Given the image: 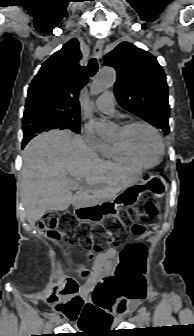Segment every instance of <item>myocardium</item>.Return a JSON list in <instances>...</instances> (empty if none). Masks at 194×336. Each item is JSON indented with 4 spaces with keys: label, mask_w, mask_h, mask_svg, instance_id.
I'll return each mask as SVG.
<instances>
[{
    "label": "myocardium",
    "mask_w": 194,
    "mask_h": 336,
    "mask_svg": "<svg viewBox=\"0 0 194 336\" xmlns=\"http://www.w3.org/2000/svg\"><path fill=\"white\" fill-rule=\"evenodd\" d=\"M136 126H143L146 127L147 129L151 130L154 135L156 136L158 143H159V148H160V153H159V158L156 162L154 163H146L144 161H142L137 154L133 151L132 147L130 146L128 139H127V134L128 132L136 127ZM121 131L123 133V137L117 141V143L119 144V146L137 163L141 164L142 166L146 167V168H153L156 167L157 165H159L164 157V153H165V145H164V141L163 138L160 134V132L157 130L156 127H154L152 124L142 121V120H133V121H129L127 123H125L122 127H121Z\"/></svg>",
    "instance_id": "f54148a6"
}]
</instances>
